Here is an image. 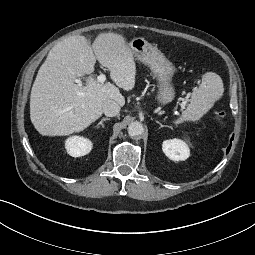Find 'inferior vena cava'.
<instances>
[{
  "mask_svg": "<svg viewBox=\"0 0 255 255\" xmlns=\"http://www.w3.org/2000/svg\"><path fill=\"white\" fill-rule=\"evenodd\" d=\"M103 112L106 116L114 117L119 114L120 106L113 100H106L102 104Z\"/></svg>",
  "mask_w": 255,
  "mask_h": 255,
  "instance_id": "1",
  "label": "inferior vena cava"
}]
</instances>
